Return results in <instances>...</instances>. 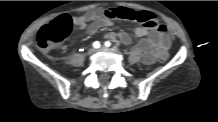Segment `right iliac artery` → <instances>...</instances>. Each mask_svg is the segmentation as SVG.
<instances>
[{
    "label": "right iliac artery",
    "instance_id": "82829eb1",
    "mask_svg": "<svg viewBox=\"0 0 218 122\" xmlns=\"http://www.w3.org/2000/svg\"><path fill=\"white\" fill-rule=\"evenodd\" d=\"M93 47H94V48H99V47H100V42H99V41H95V42L93 43Z\"/></svg>",
    "mask_w": 218,
    "mask_h": 122
}]
</instances>
